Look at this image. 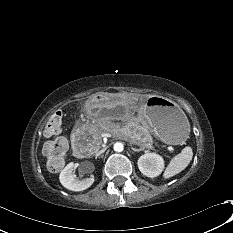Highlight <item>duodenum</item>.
<instances>
[{
  "mask_svg": "<svg viewBox=\"0 0 233 233\" xmlns=\"http://www.w3.org/2000/svg\"><path fill=\"white\" fill-rule=\"evenodd\" d=\"M72 149L77 157H84L87 153L83 142L77 136L72 138Z\"/></svg>",
  "mask_w": 233,
  "mask_h": 233,
  "instance_id": "410a0bca",
  "label": "duodenum"
}]
</instances>
